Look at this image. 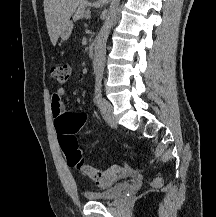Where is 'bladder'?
<instances>
[{"label":"bladder","mask_w":216,"mask_h":217,"mask_svg":"<svg viewBox=\"0 0 216 217\" xmlns=\"http://www.w3.org/2000/svg\"><path fill=\"white\" fill-rule=\"evenodd\" d=\"M129 187V183H118L105 190L97 192H85L84 196L91 202H112L119 198Z\"/></svg>","instance_id":"obj_1"}]
</instances>
